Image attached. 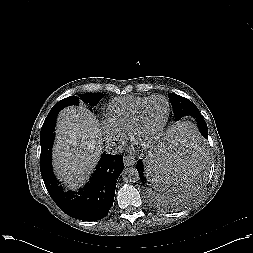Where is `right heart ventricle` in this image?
Segmentation results:
<instances>
[{
    "mask_svg": "<svg viewBox=\"0 0 253 253\" xmlns=\"http://www.w3.org/2000/svg\"><path fill=\"white\" fill-rule=\"evenodd\" d=\"M151 96H124L112 100L107 108V124L115 133L128 135L138 108Z\"/></svg>",
    "mask_w": 253,
    "mask_h": 253,
    "instance_id": "obj_1",
    "label": "right heart ventricle"
}]
</instances>
